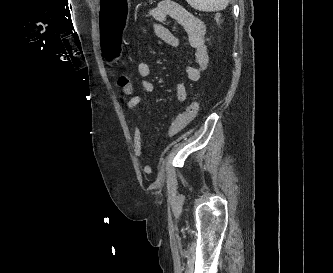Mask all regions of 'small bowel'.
<instances>
[{
	"mask_svg": "<svg viewBox=\"0 0 333 273\" xmlns=\"http://www.w3.org/2000/svg\"><path fill=\"white\" fill-rule=\"evenodd\" d=\"M146 17L152 20L150 26L151 32L164 43L172 47H179L182 44V39L169 31L165 27V23L169 19H172L178 22L184 28L186 32L187 43L193 50L196 63V65H185L184 71L190 81H199L201 74L206 69L209 61L207 48L205 45L206 26L203 20L180 4L171 0H163L155 7L149 9L146 12ZM137 74L140 77L141 90L146 93L153 92L155 87L149 79L151 75L150 65L145 62L139 63L137 65ZM175 96L180 103H184L187 100V90L183 83H178L176 85ZM140 103L141 97L137 95L131 96L126 102L128 110L135 118L137 117L136 109ZM133 145L135 155L137 157H141L143 154V145L141 129L137 120L134 123ZM143 170L144 172L148 173L150 172L151 168L150 166L146 165L144 166Z\"/></svg>",
	"mask_w": 333,
	"mask_h": 273,
	"instance_id": "1",
	"label": "small bowel"
}]
</instances>
